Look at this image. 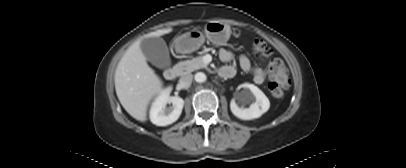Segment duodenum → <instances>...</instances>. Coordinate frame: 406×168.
I'll return each instance as SVG.
<instances>
[{
    "label": "duodenum",
    "instance_id": "duodenum-1",
    "mask_svg": "<svg viewBox=\"0 0 406 168\" xmlns=\"http://www.w3.org/2000/svg\"><path fill=\"white\" fill-rule=\"evenodd\" d=\"M179 71L180 70L177 66L169 67L164 71V77L168 81H174L178 77ZM220 75L227 78L231 75V73L227 70H220Z\"/></svg>",
    "mask_w": 406,
    "mask_h": 168
}]
</instances>
